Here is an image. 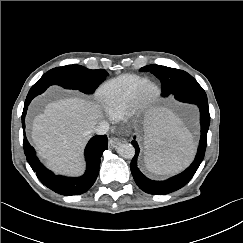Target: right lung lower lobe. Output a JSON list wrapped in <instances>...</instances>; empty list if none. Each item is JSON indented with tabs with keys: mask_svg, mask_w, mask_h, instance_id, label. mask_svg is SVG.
<instances>
[{
	"mask_svg": "<svg viewBox=\"0 0 243 243\" xmlns=\"http://www.w3.org/2000/svg\"><path fill=\"white\" fill-rule=\"evenodd\" d=\"M48 87H32L25 100L22 113V126L25 130V115L31 100L43 93ZM108 139L106 135H96L88 142L85 148L87 168L83 176L78 178L55 175L40 163L36 157L34 148L29 144L24 133L23 147L28 163L36 173L38 179L49 189L61 195H78L86 192L95 182L100 167V158L107 149Z\"/></svg>",
	"mask_w": 243,
	"mask_h": 243,
	"instance_id": "98d812e1",
	"label": "right lung lower lobe"
}]
</instances>
